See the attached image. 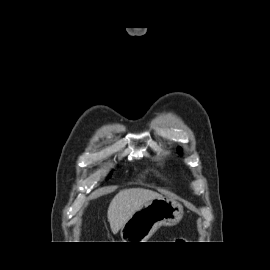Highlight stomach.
<instances>
[{
	"mask_svg": "<svg viewBox=\"0 0 270 270\" xmlns=\"http://www.w3.org/2000/svg\"><path fill=\"white\" fill-rule=\"evenodd\" d=\"M183 207L167 197L144 204L121 228L123 242H147L161 226H173L183 217Z\"/></svg>",
	"mask_w": 270,
	"mask_h": 270,
	"instance_id": "obj_1",
	"label": "stomach"
}]
</instances>
